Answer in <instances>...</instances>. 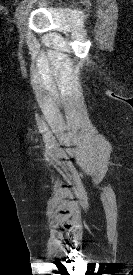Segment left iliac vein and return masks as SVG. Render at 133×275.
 Instances as JSON below:
<instances>
[{
  "instance_id": "4c4485c4",
  "label": "left iliac vein",
  "mask_w": 133,
  "mask_h": 275,
  "mask_svg": "<svg viewBox=\"0 0 133 275\" xmlns=\"http://www.w3.org/2000/svg\"><path fill=\"white\" fill-rule=\"evenodd\" d=\"M26 13L27 9L24 8L22 11L16 16L17 18V27L20 33V37L22 38L24 35V26H25V21H26Z\"/></svg>"
}]
</instances>
